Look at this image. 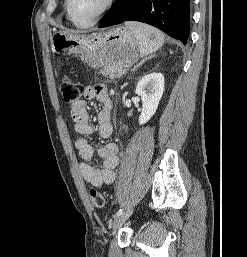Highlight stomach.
Wrapping results in <instances>:
<instances>
[{"label":"stomach","mask_w":247,"mask_h":257,"mask_svg":"<svg viewBox=\"0 0 247 257\" xmlns=\"http://www.w3.org/2000/svg\"><path fill=\"white\" fill-rule=\"evenodd\" d=\"M52 49L58 54H78L93 68L107 63H118L123 67L138 59L137 41L130 29L125 26L107 32L91 35H72L56 32L51 38Z\"/></svg>","instance_id":"stomach-1"}]
</instances>
